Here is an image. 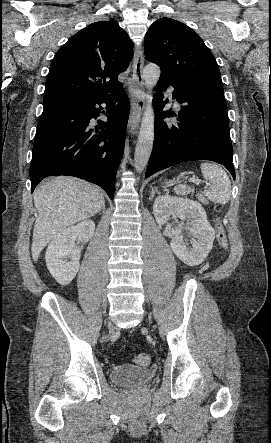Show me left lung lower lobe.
<instances>
[{
	"label": "left lung lower lobe",
	"instance_id": "obj_1",
	"mask_svg": "<svg viewBox=\"0 0 271 443\" xmlns=\"http://www.w3.org/2000/svg\"><path fill=\"white\" fill-rule=\"evenodd\" d=\"M173 87V98L181 105L177 123L164 118L175 116L162 111L163 95H154L155 136L146 178L159 170L192 160H210L224 165L235 179L229 119L223 87L162 73L157 92Z\"/></svg>",
	"mask_w": 271,
	"mask_h": 443
}]
</instances>
